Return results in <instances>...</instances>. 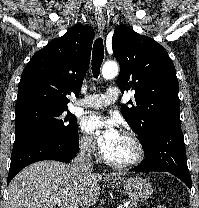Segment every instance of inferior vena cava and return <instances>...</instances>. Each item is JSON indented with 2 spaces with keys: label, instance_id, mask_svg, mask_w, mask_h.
<instances>
[{
  "label": "inferior vena cava",
  "instance_id": "obj_1",
  "mask_svg": "<svg viewBox=\"0 0 199 208\" xmlns=\"http://www.w3.org/2000/svg\"><path fill=\"white\" fill-rule=\"evenodd\" d=\"M94 146L92 142H85L81 145L80 151L75 159L72 161V166L80 172H91L93 169L92 153Z\"/></svg>",
  "mask_w": 199,
  "mask_h": 208
}]
</instances>
